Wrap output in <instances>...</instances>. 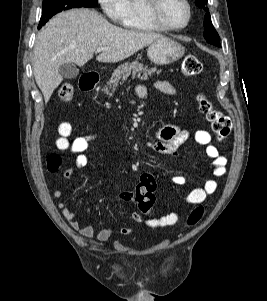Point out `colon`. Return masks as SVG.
Returning <instances> with one entry per match:
<instances>
[{
  "label": "colon",
  "instance_id": "1",
  "mask_svg": "<svg viewBox=\"0 0 267 301\" xmlns=\"http://www.w3.org/2000/svg\"><path fill=\"white\" fill-rule=\"evenodd\" d=\"M181 72L184 76L193 77L202 72V64L194 55H186L181 64ZM75 90L71 84H63L58 91V95L63 101H71L74 98ZM199 109L205 114L210 122L212 130L216 133L219 140H223L230 134V120L220 111L216 110L212 103L204 96H198ZM62 159L58 154H51L47 159V167L50 171H56L61 166ZM156 181L152 174L143 173L139 177L138 185L135 192V202L138 208L145 214L149 213L155 202ZM116 195L122 190L115 188ZM202 207H196L191 211L187 218L188 225L196 224L203 216Z\"/></svg>",
  "mask_w": 267,
  "mask_h": 301
}]
</instances>
